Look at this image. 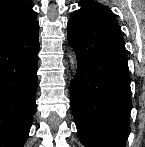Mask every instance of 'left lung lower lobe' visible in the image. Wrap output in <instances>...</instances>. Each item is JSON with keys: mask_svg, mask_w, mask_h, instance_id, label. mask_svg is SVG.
I'll list each match as a JSON object with an SVG mask.
<instances>
[{"mask_svg": "<svg viewBox=\"0 0 145 147\" xmlns=\"http://www.w3.org/2000/svg\"><path fill=\"white\" fill-rule=\"evenodd\" d=\"M68 22V42L78 61L71 107L86 147H125L130 133L131 89L125 43L106 6L82 0Z\"/></svg>", "mask_w": 145, "mask_h": 147, "instance_id": "0a47b994", "label": "left lung lower lobe"}]
</instances>
